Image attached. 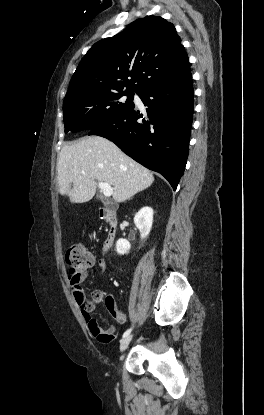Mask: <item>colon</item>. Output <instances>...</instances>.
<instances>
[{"label":"colon","instance_id":"1","mask_svg":"<svg viewBox=\"0 0 264 415\" xmlns=\"http://www.w3.org/2000/svg\"><path fill=\"white\" fill-rule=\"evenodd\" d=\"M93 262V257L91 252L79 245V244H74L71 245L66 252V266L68 267L70 273H74L77 269L79 268H87L89 267ZM105 301L106 306L109 310L110 315L117 321L122 322L125 318L124 312L118 308L113 300L110 297H103V295L95 290L91 293L90 295V300L88 303H82V309L84 310L86 317H89V314L87 312V308L94 304L97 303L101 300Z\"/></svg>","mask_w":264,"mask_h":415}]
</instances>
